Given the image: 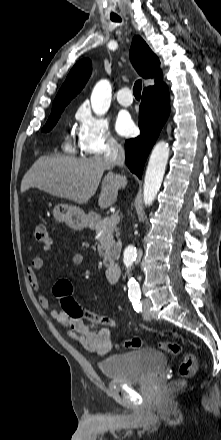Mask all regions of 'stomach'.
I'll use <instances>...</instances> for the list:
<instances>
[{
  "instance_id": "1",
  "label": "stomach",
  "mask_w": 221,
  "mask_h": 440,
  "mask_svg": "<svg viewBox=\"0 0 221 440\" xmlns=\"http://www.w3.org/2000/svg\"><path fill=\"white\" fill-rule=\"evenodd\" d=\"M53 216L59 222H65L73 230H82L88 227L92 219L85 212L74 205L58 204L53 209Z\"/></svg>"
}]
</instances>
